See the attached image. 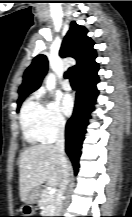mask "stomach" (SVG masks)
Masks as SVG:
<instances>
[{"label": "stomach", "instance_id": "stomach-1", "mask_svg": "<svg viewBox=\"0 0 132 217\" xmlns=\"http://www.w3.org/2000/svg\"><path fill=\"white\" fill-rule=\"evenodd\" d=\"M41 188L40 187H36L33 188L26 196V200L25 202L27 204H35L39 201L40 196H41Z\"/></svg>", "mask_w": 132, "mask_h": 217}]
</instances>
